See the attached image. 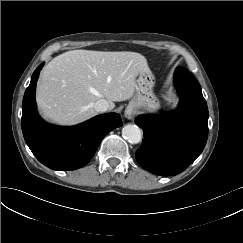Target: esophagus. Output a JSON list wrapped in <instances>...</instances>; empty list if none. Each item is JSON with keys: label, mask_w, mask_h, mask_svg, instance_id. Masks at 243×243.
I'll list each match as a JSON object with an SVG mask.
<instances>
[{"label": "esophagus", "mask_w": 243, "mask_h": 243, "mask_svg": "<svg viewBox=\"0 0 243 243\" xmlns=\"http://www.w3.org/2000/svg\"><path fill=\"white\" fill-rule=\"evenodd\" d=\"M134 110L131 108V107H127L126 108V110H125V117L127 118V119H132L133 118V116H134Z\"/></svg>", "instance_id": "34e87169"}]
</instances>
